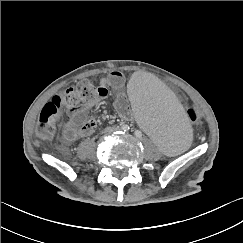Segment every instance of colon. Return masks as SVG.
I'll list each match as a JSON object with an SVG mask.
<instances>
[{
	"label": "colon",
	"instance_id": "1",
	"mask_svg": "<svg viewBox=\"0 0 243 243\" xmlns=\"http://www.w3.org/2000/svg\"><path fill=\"white\" fill-rule=\"evenodd\" d=\"M93 83L82 80L76 85L55 95L42 108L37 127L36 134L42 140H49L53 137L56 127V120L61 110H74L81 108L83 105L91 103L98 99L96 97V89ZM192 127L197 128L202 123V117L199 111L192 106L187 105L184 108Z\"/></svg>",
	"mask_w": 243,
	"mask_h": 243
}]
</instances>
